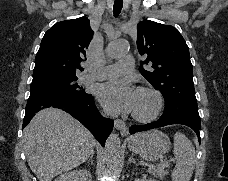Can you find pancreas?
<instances>
[{
    "label": "pancreas",
    "instance_id": "obj_1",
    "mask_svg": "<svg viewBox=\"0 0 228 181\" xmlns=\"http://www.w3.org/2000/svg\"><path fill=\"white\" fill-rule=\"evenodd\" d=\"M154 175L155 177H160V179H163V177H166V175H168V171H163V168H158L156 171H154Z\"/></svg>",
    "mask_w": 228,
    "mask_h": 181
}]
</instances>
